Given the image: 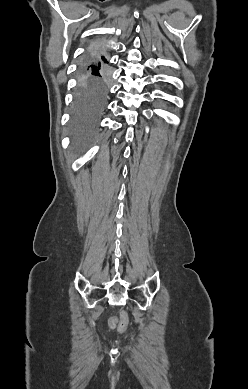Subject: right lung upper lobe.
<instances>
[{
    "label": "right lung upper lobe",
    "instance_id": "obj_1",
    "mask_svg": "<svg viewBox=\"0 0 248 389\" xmlns=\"http://www.w3.org/2000/svg\"><path fill=\"white\" fill-rule=\"evenodd\" d=\"M89 56L93 59H97V60H100L101 62H103L104 64L108 63L105 59V57L102 55V49L100 47H94L91 51V53L89 54Z\"/></svg>",
    "mask_w": 248,
    "mask_h": 389
}]
</instances>
